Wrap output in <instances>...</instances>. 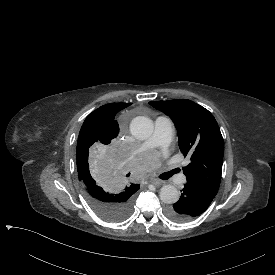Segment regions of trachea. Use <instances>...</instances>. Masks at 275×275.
I'll use <instances>...</instances> for the list:
<instances>
[{
    "mask_svg": "<svg viewBox=\"0 0 275 275\" xmlns=\"http://www.w3.org/2000/svg\"><path fill=\"white\" fill-rule=\"evenodd\" d=\"M174 174L173 170L169 171L167 173H165V177L164 180L168 179L169 177H171ZM127 176H130V174H127Z\"/></svg>",
    "mask_w": 275,
    "mask_h": 275,
    "instance_id": "obj_1",
    "label": "trachea"
}]
</instances>
